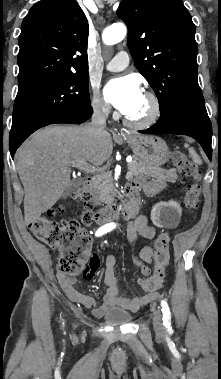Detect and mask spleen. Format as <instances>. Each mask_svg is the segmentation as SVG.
<instances>
[{"instance_id": "obj_1", "label": "spleen", "mask_w": 221, "mask_h": 379, "mask_svg": "<svg viewBox=\"0 0 221 379\" xmlns=\"http://www.w3.org/2000/svg\"><path fill=\"white\" fill-rule=\"evenodd\" d=\"M185 147L188 148L189 145L188 144H185ZM189 152L191 154V157L193 159V161L197 164H201L202 163V160L200 159V157L196 154V152L192 149V148H189Z\"/></svg>"}]
</instances>
